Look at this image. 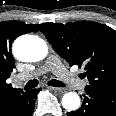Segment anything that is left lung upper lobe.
<instances>
[{
	"label": "left lung upper lobe",
	"mask_w": 116,
	"mask_h": 116,
	"mask_svg": "<svg viewBox=\"0 0 116 116\" xmlns=\"http://www.w3.org/2000/svg\"><path fill=\"white\" fill-rule=\"evenodd\" d=\"M41 31L70 66L84 67L88 87L116 90V31L91 21L45 23Z\"/></svg>",
	"instance_id": "left-lung-upper-lobe-1"
}]
</instances>
